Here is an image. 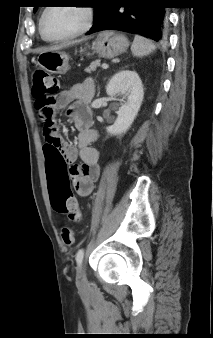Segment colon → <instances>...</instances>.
Masks as SVG:
<instances>
[{
	"label": "colon",
	"mask_w": 213,
	"mask_h": 338,
	"mask_svg": "<svg viewBox=\"0 0 213 338\" xmlns=\"http://www.w3.org/2000/svg\"><path fill=\"white\" fill-rule=\"evenodd\" d=\"M59 90L58 80L42 69L32 73V95L36 101L38 115L43 122L42 135L45 144H59L60 137L53 135V112L55 95ZM51 193L52 207L56 212L66 213L71 219L80 220L81 212L72 192L63 185H57ZM63 244L69 246L74 242V231L69 227H63L60 231Z\"/></svg>",
	"instance_id": "5ec220e1"
}]
</instances>
